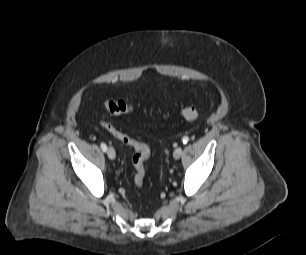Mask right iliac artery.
I'll return each instance as SVG.
<instances>
[{"instance_id":"82829eb1","label":"right iliac artery","mask_w":306,"mask_h":255,"mask_svg":"<svg viewBox=\"0 0 306 255\" xmlns=\"http://www.w3.org/2000/svg\"><path fill=\"white\" fill-rule=\"evenodd\" d=\"M100 146H101V149H102L104 152L107 151V146H106L105 143H101Z\"/></svg>"}]
</instances>
